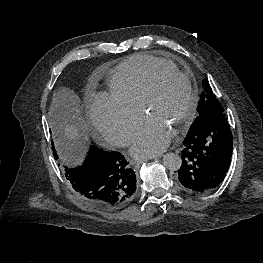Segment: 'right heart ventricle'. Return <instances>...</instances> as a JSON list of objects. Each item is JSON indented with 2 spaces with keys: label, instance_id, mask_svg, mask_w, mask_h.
<instances>
[{
  "label": "right heart ventricle",
  "instance_id": "obj_1",
  "mask_svg": "<svg viewBox=\"0 0 263 263\" xmlns=\"http://www.w3.org/2000/svg\"><path fill=\"white\" fill-rule=\"evenodd\" d=\"M158 67L177 69L169 61L149 55H134L120 63L109 75L111 94L123 103L140 108L146 85Z\"/></svg>",
  "mask_w": 263,
  "mask_h": 263
}]
</instances>
